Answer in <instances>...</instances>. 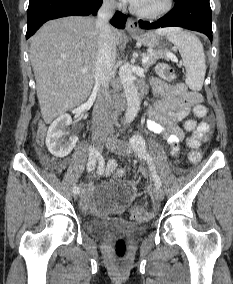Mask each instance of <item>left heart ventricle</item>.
<instances>
[{
  "instance_id": "1",
  "label": "left heart ventricle",
  "mask_w": 233,
  "mask_h": 284,
  "mask_svg": "<svg viewBox=\"0 0 233 284\" xmlns=\"http://www.w3.org/2000/svg\"><path fill=\"white\" fill-rule=\"evenodd\" d=\"M163 3L164 0H143L137 7L142 10H154L161 7Z\"/></svg>"
}]
</instances>
